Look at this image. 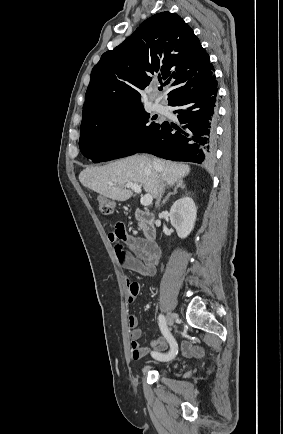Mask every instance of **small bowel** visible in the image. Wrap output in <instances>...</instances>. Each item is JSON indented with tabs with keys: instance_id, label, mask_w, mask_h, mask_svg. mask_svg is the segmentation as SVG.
I'll list each match as a JSON object with an SVG mask.
<instances>
[{
	"instance_id": "obj_1",
	"label": "small bowel",
	"mask_w": 283,
	"mask_h": 434,
	"mask_svg": "<svg viewBox=\"0 0 283 434\" xmlns=\"http://www.w3.org/2000/svg\"><path fill=\"white\" fill-rule=\"evenodd\" d=\"M108 238L110 242L115 243L116 258L124 269L137 272L143 276L155 275L161 255L157 245H149L145 239L128 234L121 222L115 224V229L108 235ZM121 243H124L127 249ZM140 289V283L128 280L127 298L129 303L134 301ZM128 326L130 328L131 355L134 360H139L152 352L161 353L170 345H168L165 337H159L151 340L150 348L144 347L139 343L142 330L138 327V320L134 315L128 317ZM181 353L185 357H192L199 353V349L189 341H184L181 345Z\"/></svg>"
}]
</instances>
